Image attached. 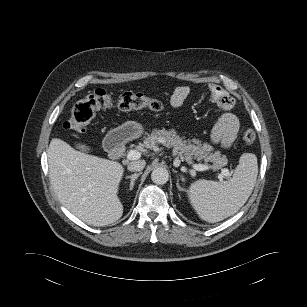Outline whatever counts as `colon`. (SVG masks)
Returning a JSON list of instances; mask_svg holds the SVG:
<instances>
[{
    "instance_id": "5ec220e1",
    "label": "colon",
    "mask_w": 307,
    "mask_h": 307,
    "mask_svg": "<svg viewBox=\"0 0 307 307\" xmlns=\"http://www.w3.org/2000/svg\"><path fill=\"white\" fill-rule=\"evenodd\" d=\"M112 107L125 111L144 108L159 111L163 108V104L160 100L142 93L124 92L118 96H113L105 90L98 89L74 104L70 117L63 124V127L66 130L83 133L98 111ZM255 139L256 133L254 130L246 129L243 131L242 140L246 144L253 143Z\"/></svg>"
}]
</instances>
